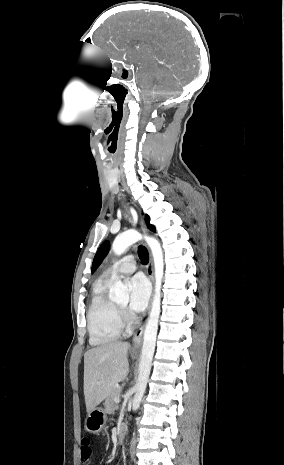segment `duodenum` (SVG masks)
Segmentation results:
<instances>
[{"mask_svg":"<svg viewBox=\"0 0 284 465\" xmlns=\"http://www.w3.org/2000/svg\"><path fill=\"white\" fill-rule=\"evenodd\" d=\"M126 432H127V430H126L125 427L121 428V429L118 431L117 435H118V440H119V441H123V440L125 439Z\"/></svg>","mask_w":284,"mask_h":465,"instance_id":"obj_1","label":"duodenum"}]
</instances>
